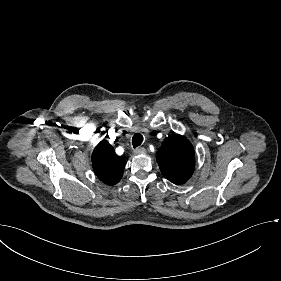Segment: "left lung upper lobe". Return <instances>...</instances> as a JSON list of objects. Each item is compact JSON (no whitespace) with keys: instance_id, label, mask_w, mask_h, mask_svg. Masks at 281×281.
<instances>
[{"instance_id":"left-lung-upper-lobe-1","label":"left lung upper lobe","mask_w":281,"mask_h":281,"mask_svg":"<svg viewBox=\"0 0 281 281\" xmlns=\"http://www.w3.org/2000/svg\"><path fill=\"white\" fill-rule=\"evenodd\" d=\"M156 159L163 176L178 185L188 181L195 168L192 144L186 137L177 134L164 140Z\"/></svg>"}]
</instances>
